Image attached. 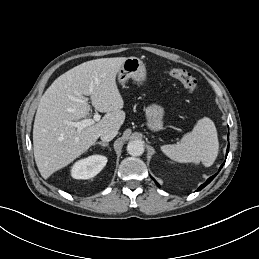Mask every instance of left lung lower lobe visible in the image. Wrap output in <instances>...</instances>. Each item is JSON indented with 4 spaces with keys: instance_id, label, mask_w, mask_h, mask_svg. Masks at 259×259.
<instances>
[{
    "instance_id": "0a47b994",
    "label": "left lung lower lobe",
    "mask_w": 259,
    "mask_h": 259,
    "mask_svg": "<svg viewBox=\"0 0 259 259\" xmlns=\"http://www.w3.org/2000/svg\"><path fill=\"white\" fill-rule=\"evenodd\" d=\"M228 151H229V146H228V148H227V154H228ZM227 154H226V157H227ZM223 165H224V163L221 165L220 169L223 167ZM220 169H219V170H220ZM215 176H216V174H215L214 176L210 177L209 179H207V181H206L204 184H202V185L198 188L197 191L203 189L206 185H208V184L214 179ZM154 181H155V180H154ZM155 183L159 186V184H158L156 181H155Z\"/></svg>"
}]
</instances>
